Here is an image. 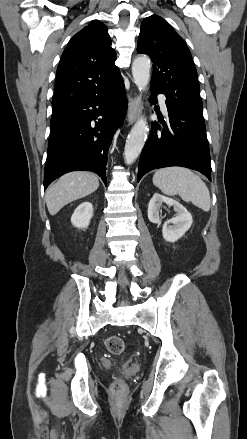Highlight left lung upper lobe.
Instances as JSON below:
<instances>
[{
	"mask_svg": "<svg viewBox=\"0 0 247 439\" xmlns=\"http://www.w3.org/2000/svg\"><path fill=\"white\" fill-rule=\"evenodd\" d=\"M137 51L152 59L151 88L161 91L175 105L203 114L191 53L183 39L163 18L152 15L143 20Z\"/></svg>",
	"mask_w": 247,
	"mask_h": 439,
	"instance_id": "obj_1",
	"label": "left lung upper lobe"
}]
</instances>
